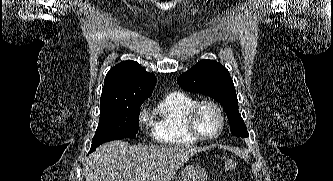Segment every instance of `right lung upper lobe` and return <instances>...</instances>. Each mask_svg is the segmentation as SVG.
Masks as SVG:
<instances>
[{
	"mask_svg": "<svg viewBox=\"0 0 333 181\" xmlns=\"http://www.w3.org/2000/svg\"><path fill=\"white\" fill-rule=\"evenodd\" d=\"M156 77L137 62L123 61L109 70L105 77L100 110L145 101L151 96Z\"/></svg>",
	"mask_w": 333,
	"mask_h": 181,
	"instance_id": "1",
	"label": "right lung upper lobe"
}]
</instances>
